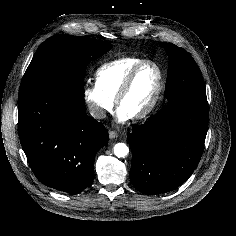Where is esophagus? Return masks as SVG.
Segmentation results:
<instances>
[{"mask_svg":"<svg viewBox=\"0 0 236 236\" xmlns=\"http://www.w3.org/2000/svg\"><path fill=\"white\" fill-rule=\"evenodd\" d=\"M109 137L111 139H115L118 137V133L116 131L111 130V131H109Z\"/></svg>","mask_w":236,"mask_h":236,"instance_id":"esophagus-1","label":"esophagus"}]
</instances>
